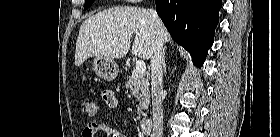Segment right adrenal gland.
<instances>
[{"label": "right adrenal gland", "mask_w": 280, "mask_h": 137, "mask_svg": "<svg viewBox=\"0 0 280 137\" xmlns=\"http://www.w3.org/2000/svg\"><path fill=\"white\" fill-rule=\"evenodd\" d=\"M162 59H163V69H164V73H166L165 48L163 49V52H162Z\"/></svg>", "instance_id": "1"}]
</instances>
